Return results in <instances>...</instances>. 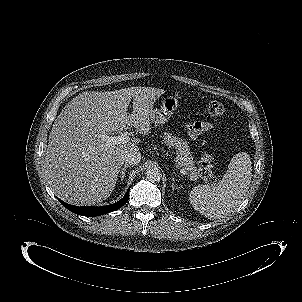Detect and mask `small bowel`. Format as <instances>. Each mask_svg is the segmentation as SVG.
<instances>
[{
	"label": "small bowel",
	"mask_w": 302,
	"mask_h": 302,
	"mask_svg": "<svg viewBox=\"0 0 302 302\" xmlns=\"http://www.w3.org/2000/svg\"><path fill=\"white\" fill-rule=\"evenodd\" d=\"M212 124L204 121H194L186 125L187 134L190 138H197L212 129Z\"/></svg>",
	"instance_id": "small-bowel-1"
}]
</instances>
